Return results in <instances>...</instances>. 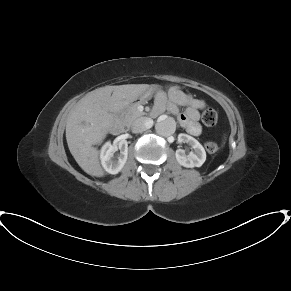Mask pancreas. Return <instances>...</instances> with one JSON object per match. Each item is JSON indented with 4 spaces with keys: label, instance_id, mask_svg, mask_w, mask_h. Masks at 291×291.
I'll list each match as a JSON object with an SVG mask.
<instances>
[{
    "label": "pancreas",
    "instance_id": "pancreas-1",
    "mask_svg": "<svg viewBox=\"0 0 291 291\" xmlns=\"http://www.w3.org/2000/svg\"><path fill=\"white\" fill-rule=\"evenodd\" d=\"M142 104L140 103H133L127 106L123 111H122V117L125 122L127 123H132L135 119L145 115V112H142L138 109V106Z\"/></svg>",
    "mask_w": 291,
    "mask_h": 291
}]
</instances>
